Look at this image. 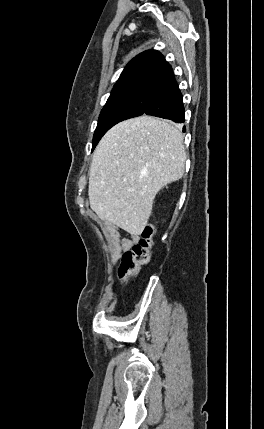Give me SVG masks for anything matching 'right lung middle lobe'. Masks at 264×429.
<instances>
[{
  "instance_id": "right-lung-middle-lobe-1",
  "label": "right lung middle lobe",
  "mask_w": 264,
  "mask_h": 429,
  "mask_svg": "<svg viewBox=\"0 0 264 429\" xmlns=\"http://www.w3.org/2000/svg\"><path fill=\"white\" fill-rule=\"evenodd\" d=\"M160 90V87L139 86L112 92L99 116L92 150L112 126L144 114Z\"/></svg>"
}]
</instances>
